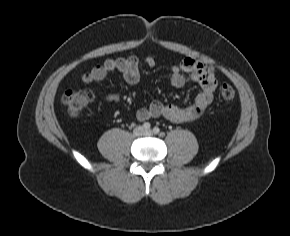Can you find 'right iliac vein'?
Listing matches in <instances>:
<instances>
[{
    "label": "right iliac vein",
    "mask_w": 290,
    "mask_h": 236,
    "mask_svg": "<svg viewBox=\"0 0 290 236\" xmlns=\"http://www.w3.org/2000/svg\"><path fill=\"white\" fill-rule=\"evenodd\" d=\"M144 130L141 126H138L134 129V135L135 136H141L143 134Z\"/></svg>",
    "instance_id": "obj_1"
}]
</instances>
